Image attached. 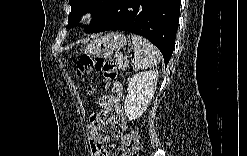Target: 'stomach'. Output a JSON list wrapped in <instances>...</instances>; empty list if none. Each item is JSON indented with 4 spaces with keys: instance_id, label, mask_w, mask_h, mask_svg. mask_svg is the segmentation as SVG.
I'll list each match as a JSON object with an SVG mask.
<instances>
[{
    "instance_id": "1",
    "label": "stomach",
    "mask_w": 247,
    "mask_h": 156,
    "mask_svg": "<svg viewBox=\"0 0 247 156\" xmlns=\"http://www.w3.org/2000/svg\"><path fill=\"white\" fill-rule=\"evenodd\" d=\"M128 44L123 33L110 32L93 40L86 48L87 54L92 57H109Z\"/></svg>"
}]
</instances>
